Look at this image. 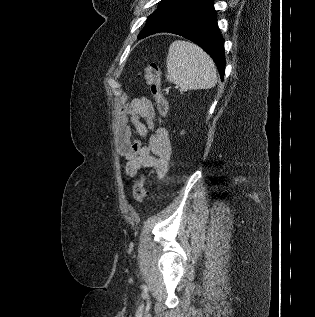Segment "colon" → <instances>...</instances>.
Instances as JSON below:
<instances>
[{
	"label": "colon",
	"instance_id": "obj_1",
	"mask_svg": "<svg viewBox=\"0 0 315 317\" xmlns=\"http://www.w3.org/2000/svg\"><path fill=\"white\" fill-rule=\"evenodd\" d=\"M147 84L151 88V93L156 101L158 111L162 117L168 112V104L162 90L161 70L156 63L148 64L143 71ZM147 176L142 174L134 185L133 197L138 204H142L146 198Z\"/></svg>",
	"mask_w": 315,
	"mask_h": 317
}]
</instances>
